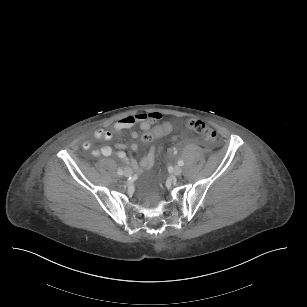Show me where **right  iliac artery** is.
<instances>
[{"label": "right iliac artery", "instance_id": "82829eb1", "mask_svg": "<svg viewBox=\"0 0 307 307\" xmlns=\"http://www.w3.org/2000/svg\"><path fill=\"white\" fill-rule=\"evenodd\" d=\"M117 173H118L120 176L124 175V172H123L122 169H118Z\"/></svg>", "mask_w": 307, "mask_h": 307}]
</instances>
